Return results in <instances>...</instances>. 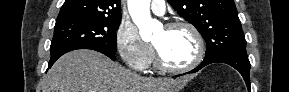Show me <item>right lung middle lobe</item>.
Returning <instances> with one entry per match:
<instances>
[{"instance_id": "right-lung-middle-lobe-1", "label": "right lung middle lobe", "mask_w": 289, "mask_h": 92, "mask_svg": "<svg viewBox=\"0 0 289 92\" xmlns=\"http://www.w3.org/2000/svg\"><path fill=\"white\" fill-rule=\"evenodd\" d=\"M121 19L66 18L56 20L51 42V59L76 49L116 53V31Z\"/></svg>"}]
</instances>
